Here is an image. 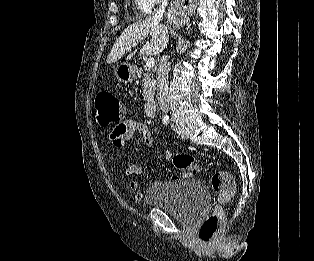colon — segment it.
Here are the masks:
<instances>
[{
  "label": "colon",
  "instance_id": "5ec220e1",
  "mask_svg": "<svg viewBox=\"0 0 314 261\" xmlns=\"http://www.w3.org/2000/svg\"><path fill=\"white\" fill-rule=\"evenodd\" d=\"M94 104L95 121L99 127L105 128L113 124H122L124 118L123 103L111 92L100 91L95 97ZM169 161L186 178L193 177L200 171L199 164L188 154L170 156ZM211 184L219 204L214 206L212 213L200 225L199 238L205 243L217 239L224 221V210L221 204L228 202L236 192V183L226 171L214 172L211 177Z\"/></svg>",
  "mask_w": 314,
  "mask_h": 261
}]
</instances>
